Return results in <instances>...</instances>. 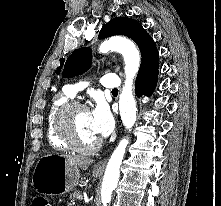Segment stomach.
Wrapping results in <instances>:
<instances>
[{
    "label": "stomach",
    "mask_w": 221,
    "mask_h": 206,
    "mask_svg": "<svg viewBox=\"0 0 221 206\" xmlns=\"http://www.w3.org/2000/svg\"><path fill=\"white\" fill-rule=\"evenodd\" d=\"M94 176H99L97 172ZM80 179L79 168L71 166L65 156L44 155L34 169L32 186L45 195H63L74 189Z\"/></svg>",
    "instance_id": "obj_1"
}]
</instances>
